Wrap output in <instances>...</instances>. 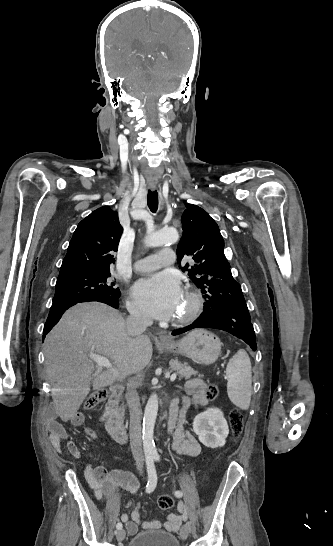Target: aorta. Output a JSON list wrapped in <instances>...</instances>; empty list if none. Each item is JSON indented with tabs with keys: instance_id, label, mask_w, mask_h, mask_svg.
Listing matches in <instances>:
<instances>
[{
	"instance_id": "1",
	"label": "aorta",
	"mask_w": 333,
	"mask_h": 546,
	"mask_svg": "<svg viewBox=\"0 0 333 546\" xmlns=\"http://www.w3.org/2000/svg\"><path fill=\"white\" fill-rule=\"evenodd\" d=\"M179 239V234L174 229L152 230L148 232L145 238V245L148 247L163 246L167 243H175ZM158 412V397L152 394L145 407L143 418V449L146 455L157 453L154 442V426Z\"/></svg>"
}]
</instances>
